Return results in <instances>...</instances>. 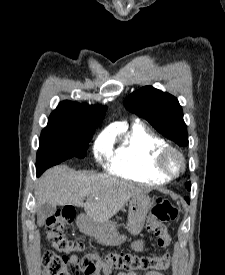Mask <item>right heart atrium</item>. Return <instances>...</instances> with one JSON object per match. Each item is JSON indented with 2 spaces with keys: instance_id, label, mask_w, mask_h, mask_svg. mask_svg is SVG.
Returning a JSON list of instances; mask_svg holds the SVG:
<instances>
[{
  "instance_id": "right-heart-atrium-1",
  "label": "right heart atrium",
  "mask_w": 225,
  "mask_h": 275,
  "mask_svg": "<svg viewBox=\"0 0 225 275\" xmlns=\"http://www.w3.org/2000/svg\"><path fill=\"white\" fill-rule=\"evenodd\" d=\"M112 144L113 139L111 135L108 133L101 134L94 144V156L96 160L100 161L102 157L110 155Z\"/></svg>"
}]
</instances>
